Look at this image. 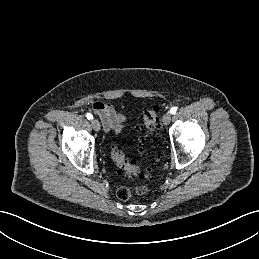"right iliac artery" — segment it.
I'll return each instance as SVG.
<instances>
[{
  "instance_id": "1",
  "label": "right iliac artery",
  "mask_w": 259,
  "mask_h": 259,
  "mask_svg": "<svg viewBox=\"0 0 259 259\" xmlns=\"http://www.w3.org/2000/svg\"><path fill=\"white\" fill-rule=\"evenodd\" d=\"M86 117H87L88 120H92V119H93V115L90 114V113H87V114H86Z\"/></svg>"
}]
</instances>
